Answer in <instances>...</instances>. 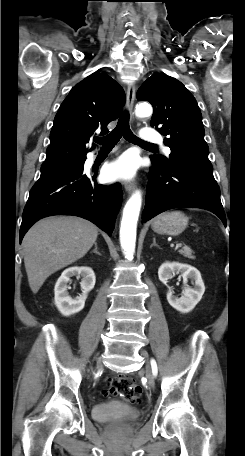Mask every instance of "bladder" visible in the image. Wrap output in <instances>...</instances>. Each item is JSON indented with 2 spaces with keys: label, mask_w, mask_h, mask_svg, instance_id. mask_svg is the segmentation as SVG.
Segmentation results:
<instances>
[{
  "label": "bladder",
  "mask_w": 245,
  "mask_h": 456,
  "mask_svg": "<svg viewBox=\"0 0 245 456\" xmlns=\"http://www.w3.org/2000/svg\"><path fill=\"white\" fill-rule=\"evenodd\" d=\"M138 410L124 402L108 401L94 405L92 417L99 422H122L135 420Z\"/></svg>",
  "instance_id": "bladder-1"
}]
</instances>
